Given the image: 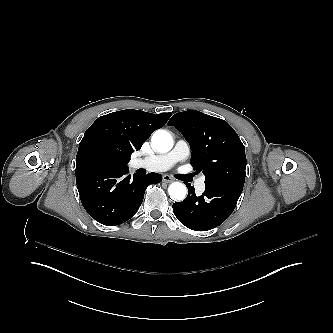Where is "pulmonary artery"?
<instances>
[{
    "label": "pulmonary artery",
    "instance_id": "pulmonary-artery-1",
    "mask_svg": "<svg viewBox=\"0 0 333 333\" xmlns=\"http://www.w3.org/2000/svg\"><path fill=\"white\" fill-rule=\"evenodd\" d=\"M190 156V149L188 147V144L185 140L179 139L177 140L174 148L172 150H168L165 152L164 156L161 158L159 155L156 157H150L145 160L144 162V168L148 171L152 170H160L162 172H165L170 167L174 166L175 164L179 162H183L187 160ZM205 179L204 175L200 176V180H196L194 182V187L196 189H201L203 187V180Z\"/></svg>",
    "mask_w": 333,
    "mask_h": 333
}]
</instances>
